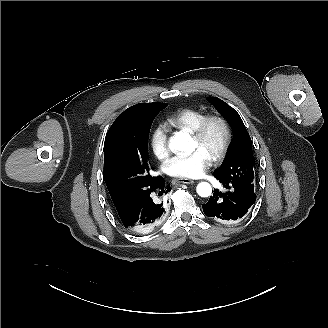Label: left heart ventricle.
Listing matches in <instances>:
<instances>
[{
	"mask_svg": "<svg viewBox=\"0 0 328 328\" xmlns=\"http://www.w3.org/2000/svg\"><path fill=\"white\" fill-rule=\"evenodd\" d=\"M225 137L223 127L218 123H213L209 126L206 136L202 143L196 142L191 137L190 150H202L210 158L214 156L221 148Z\"/></svg>",
	"mask_w": 328,
	"mask_h": 328,
	"instance_id": "left-heart-ventricle-1",
	"label": "left heart ventricle"
}]
</instances>
